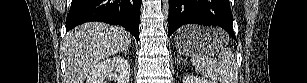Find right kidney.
Masks as SVG:
<instances>
[{"instance_id":"obj_1","label":"right kidney","mask_w":307,"mask_h":83,"mask_svg":"<svg viewBox=\"0 0 307 83\" xmlns=\"http://www.w3.org/2000/svg\"><path fill=\"white\" fill-rule=\"evenodd\" d=\"M129 79V62L121 56H114L95 65L86 83H106L107 80L113 83H129Z\"/></svg>"}]
</instances>
